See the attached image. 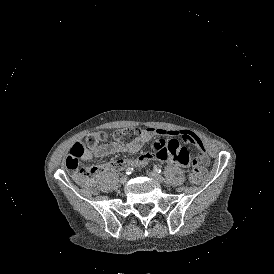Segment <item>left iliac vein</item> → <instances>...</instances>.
Wrapping results in <instances>:
<instances>
[{
	"mask_svg": "<svg viewBox=\"0 0 274 274\" xmlns=\"http://www.w3.org/2000/svg\"><path fill=\"white\" fill-rule=\"evenodd\" d=\"M147 175L149 177H151L152 179H154L155 181L159 182V183H163L164 182V178L157 174V173H154V172H148Z\"/></svg>",
	"mask_w": 274,
	"mask_h": 274,
	"instance_id": "4c4485c4",
	"label": "left iliac vein"
}]
</instances>
